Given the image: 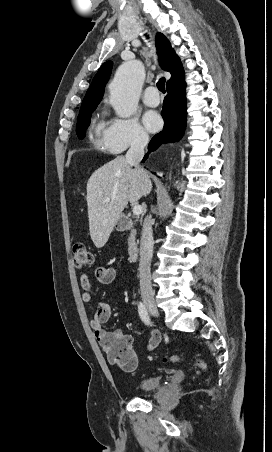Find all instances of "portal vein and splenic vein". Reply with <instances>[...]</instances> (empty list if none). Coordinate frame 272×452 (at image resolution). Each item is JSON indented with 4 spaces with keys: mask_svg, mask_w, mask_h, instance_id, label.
<instances>
[{
    "mask_svg": "<svg viewBox=\"0 0 272 452\" xmlns=\"http://www.w3.org/2000/svg\"><path fill=\"white\" fill-rule=\"evenodd\" d=\"M106 201H110V198H106ZM143 212V207L140 205L133 206V214L140 215Z\"/></svg>",
    "mask_w": 272,
    "mask_h": 452,
    "instance_id": "18ae733b",
    "label": "portal vein and splenic vein"
}]
</instances>
